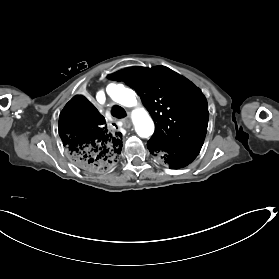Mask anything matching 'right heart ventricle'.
I'll use <instances>...</instances> for the list:
<instances>
[{"label":"right heart ventricle","mask_w":279,"mask_h":279,"mask_svg":"<svg viewBox=\"0 0 279 279\" xmlns=\"http://www.w3.org/2000/svg\"><path fill=\"white\" fill-rule=\"evenodd\" d=\"M82 63L85 66L92 67L88 73V76L93 77L102 69L103 64L100 56H92L82 59ZM108 91L113 97L114 102L121 108H127L131 105V101L137 95L134 91L126 88L123 84L112 83L108 85Z\"/></svg>","instance_id":"obj_1"}]
</instances>
